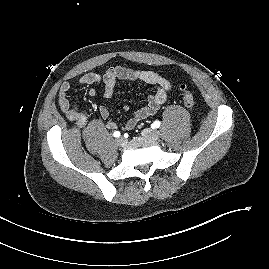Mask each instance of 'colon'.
Listing matches in <instances>:
<instances>
[{
    "label": "colon",
    "instance_id": "5ec220e1",
    "mask_svg": "<svg viewBox=\"0 0 269 269\" xmlns=\"http://www.w3.org/2000/svg\"><path fill=\"white\" fill-rule=\"evenodd\" d=\"M180 91L182 94L184 105L192 109L195 106V99L193 94L188 90V88L185 85L180 86Z\"/></svg>",
    "mask_w": 269,
    "mask_h": 269
}]
</instances>
